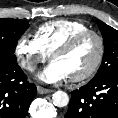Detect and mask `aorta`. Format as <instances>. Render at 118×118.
I'll return each instance as SVG.
<instances>
[{"instance_id": "aorta-1", "label": "aorta", "mask_w": 118, "mask_h": 118, "mask_svg": "<svg viewBox=\"0 0 118 118\" xmlns=\"http://www.w3.org/2000/svg\"><path fill=\"white\" fill-rule=\"evenodd\" d=\"M53 104L57 107H65L69 103V96L64 91H56L52 95Z\"/></svg>"}]
</instances>
